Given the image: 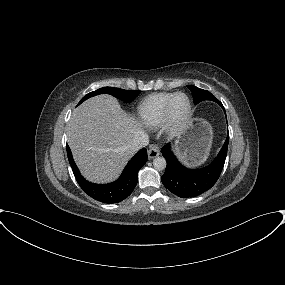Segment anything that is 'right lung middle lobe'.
<instances>
[{"label":"right lung middle lobe","mask_w":285,"mask_h":285,"mask_svg":"<svg viewBox=\"0 0 285 285\" xmlns=\"http://www.w3.org/2000/svg\"><path fill=\"white\" fill-rule=\"evenodd\" d=\"M140 91H135V90H123L120 88H113V87H103L100 88L96 91L90 92L87 95H85L81 101L79 102V104H81L83 101H85L86 99L93 97L95 95L98 94H110L116 98H119L125 102H130L132 101L138 94Z\"/></svg>","instance_id":"1"}]
</instances>
